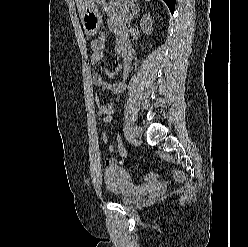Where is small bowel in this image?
Masks as SVG:
<instances>
[{
    "mask_svg": "<svg viewBox=\"0 0 248 247\" xmlns=\"http://www.w3.org/2000/svg\"><path fill=\"white\" fill-rule=\"evenodd\" d=\"M104 42L105 37L100 35L98 38L94 39L91 44V55H90V62L91 64L95 65L98 64L103 56H104ZM117 49L122 52H126L128 54V58L125 59L124 64V72H123V80L117 83H109L107 82L103 76L99 72H94L92 76L93 83L96 87L101 89H106L111 91L116 97H119L125 89V79L129 73V66H130V52L129 46L124 38V36H119L117 42ZM95 104L98 109V117L102 119L104 123H108L112 120V117L115 112V108L112 104H105L101 96L97 95L95 98ZM103 141L107 146L110 152L114 151V146L109 142L108 138L105 134L102 135ZM107 169L115 168L118 165H124L125 163L122 162L120 159L117 160L113 157H108L105 161Z\"/></svg>",
    "mask_w": 248,
    "mask_h": 247,
    "instance_id": "small-bowel-1",
    "label": "small bowel"
}]
</instances>
